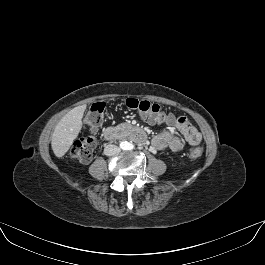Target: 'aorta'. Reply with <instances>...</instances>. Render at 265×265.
Returning a JSON list of instances; mask_svg holds the SVG:
<instances>
[{
	"label": "aorta",
	"instance_id": "aorta-1",
	"mask_svg": "<svg viewBox=\"0 0 265 265\" xmlns=\"http://www.w3.org/2000/svg\"><path fill=\"white\" fill-rule=\"evenodd\" d=\"M120 147L123 150H128L131 147V144L129 142H127V141H122L120 143Z\"/></svg>",
	"mask_w": 265,
	"mask_h": 265
}]
</instances>
